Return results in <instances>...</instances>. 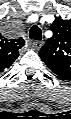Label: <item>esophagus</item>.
<instances>
[{
  "instance_id": "34e87169",
  "label": "esophagus",
  "mask_w": 71,
  "mask_h": 119,
  "mask_svg": "<svg viewBox=\"0 0 71 119\" xmlns=\"http://www.w3.org/2000/svg\"><path fill=\"white\" fill-rule=\"evenodd\" d=\"M31 46L34 50H39L43 46V42L42 41H33L31 43Z\"/></svg>"
}]
</instances>
